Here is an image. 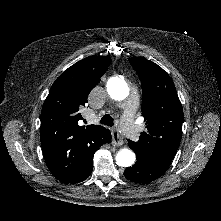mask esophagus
Masks as SVG:
<instances>
[{"mask_svg": "<svg viewBox=\"0 0 221 221\" xmlns=\"http://www.w3.org/2000/svg\"><path fill=\"white\" fill-rule=\"evenodd\" d=\"M123 140L117 128L112 129V145L119 146L122 145Z\"/></svg>", "mask_w": 221, "mask_h": 221, "instance_id": "34e87169", "label": "esophagus"}]
</instances>
